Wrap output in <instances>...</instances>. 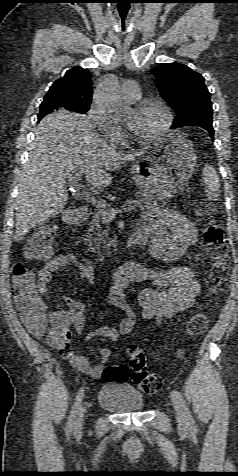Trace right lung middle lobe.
I'll return each mask as SVG.
<instances>
[{
  "label": "right lung middle lobe",
  "instance_id": "obj_1",
  "mask_svg": "<svg viewBox=\"0 0 238 476\" xmlns=\"http://www.w3.org/2000/svg\"><path fill=\"white\" fill-rule=\"evenodd\" d=\"M89 109V106H77L73 111L79 112V113H86ZM58 110V107L56 104L50 103V102H42L40 106V113L38 115V119L40 120L43 116L46 114ZM59 111H64V110H59Z\"/></svg>",
  "mask_w": 238,
  "mask_h": 476
}]
</instances>
